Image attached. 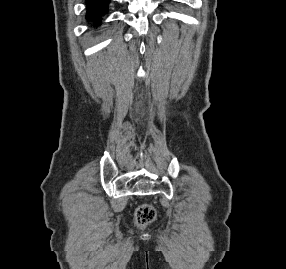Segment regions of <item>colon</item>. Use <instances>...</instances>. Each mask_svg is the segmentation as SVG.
I'll return each mask as SVG.
<instances>
[{"label": "colon", "instance_id": "obj_1", "mask_svg": "<svg viewBox=\"0 0 286 269\" xmlns=\"http://www.w3.org/2000/svg\"><path fill=\"white\" fill-rule=\"evenodd\" d=\"M156 217L155 210L149 204H143L136 210V222L139 226H145L152 222Z\"/></svg>", "mask_w": 286, "mask_h": 269}]
</instances>
